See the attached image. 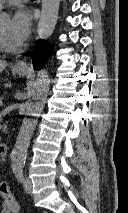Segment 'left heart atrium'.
<instances>
[{
  "mask_svg": "<svg viewBox=\"0 0 128 213\" xmlns=\"http://www.w3.org/2000/svg\"><path fill=\"white\" fill-rule=\"evenodd\" d=\"M11 34L17 45H22L31 30V16L24 7H18L11 19Z\"/></svg>",
  "mask_w": 128,
  "mask_h": 213,
  "instance_id": "39dd6f15",
  "label": "left heart atrium"
}]
</instances>
